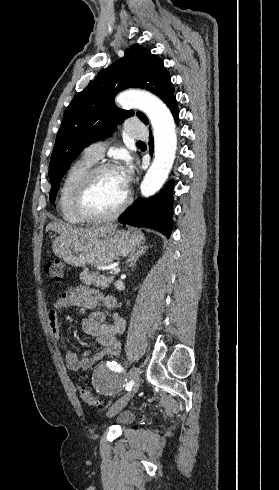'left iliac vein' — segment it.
I'll list each match as a JSON object with an SVG mask.
<instances>
[{
    "mask_svg": "<svg viewBox=\"0 0 279 490\" xmlns=\"http://www.w3.org/2000/svg\"><path fill=\"white\" fill-rule=\"evenodd\" d=\"M128 378L132 381L135 382V386L133 388V392H136L138 390V383L140 382V371L136 367H132L128 373ZM133 393H126L122 396V398L115 404L113 407H111L108 411V416H114L117 412H119L132 398Z\"/></svg>",
    "mask_w": 279,
    "mask_h": 490,
    "instance_id": "1",
    "label": "left iliac vein"
}]
</instances>
